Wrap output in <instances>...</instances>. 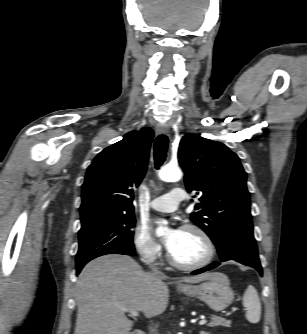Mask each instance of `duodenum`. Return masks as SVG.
Segmentation results:
<instances>
[{"label": "duodenum", "mask_w": 307, "mask_h": 334, "mask_svg": "<svg viewBox=\"0 0 307 334\" xmlns=\"http://www.w3.org/2000/svg\"><path fill=\"white\" fill-rule=\"evenodd\" d=\"M132 334H145L143 330L137 329Z\"/></svg>", "instance_id": "duodenum-1"}]
</instances>
